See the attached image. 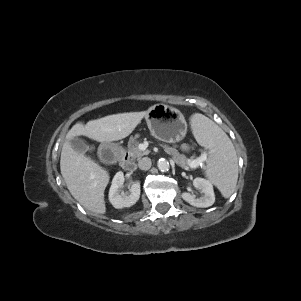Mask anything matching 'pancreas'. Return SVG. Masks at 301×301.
<instances>
[{"instance_id":"obj_1","label":"pancreas","mask_w":301,"mask_h":301,"mask_svg":"<svg viewBox=\"0 0 301 301\" xmlns=\"http://www.w3.org/2000/svg\"><path fill=\"white\" fill-rule=\"evenodd\" d=\"M139 141H137V137L130 138L128 142V153L133 159L139 160L142 156L149 154L148 150L142 151L139 149ZM165 150V152L172 156L173 160L176 164H178L180 167L184 169H189L190 162L193 161V159L186 158L185 155L180 154L175 148L169 147L168 145L162 146ZM192 168V167H191Z\"/></svg>"}]
</instances>
